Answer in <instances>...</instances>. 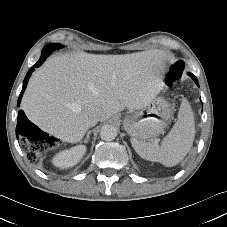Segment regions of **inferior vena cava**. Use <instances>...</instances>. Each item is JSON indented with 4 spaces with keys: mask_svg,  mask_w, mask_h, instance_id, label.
<instances>
[{
    "mask_svg": "<svg viewBox=\"0 0 227 227\" xmlns=\"http://www.w3.org/2000/svg\"><path fill=\"white\" fill-rule=\"evenodd\" d=\"M100 120V116L98 113L91 112L86 116V124L88 127L95 126Z\"/></svg>",
    "mask_w": 227,
    "mask_h": 227,
    "instance_id": "obj_1",
    "label": "inferior vena cava"
}]
</instances>
